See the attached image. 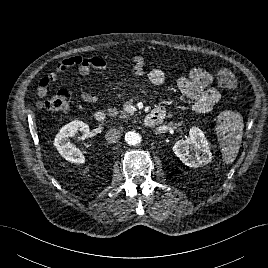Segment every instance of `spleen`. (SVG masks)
Segmentation results:
<instances>
[{
  "mask_svg": "<svg viewBox=\"0 0 268 268\" xmlns=\"http://www.w3.org/2000/svg\"><path fill=\"white\" fill-rule=\"evenodd\" d=\"M243 118L235 111H223L218 117L216 133L221 142V151L226 164H231L239 151L242 134Z\"/></svg>",
  "mask_w": 268,
  "mask_h": 268,
  "instance_id": "1",
  "label": "spleen"
}]
</instances>
